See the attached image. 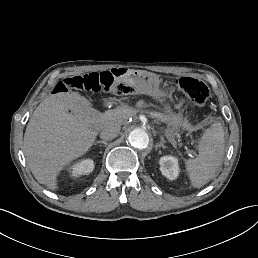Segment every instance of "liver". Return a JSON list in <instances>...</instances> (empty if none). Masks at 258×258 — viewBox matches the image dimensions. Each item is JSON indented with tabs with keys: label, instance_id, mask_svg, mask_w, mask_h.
<instances>
[{
	"label": "liver",
	"instance_id": "1",
	"mask_svg": "<svg viewBox=\"0 0 258 258\" xmlns=\"http://www.w3.org/2000/svg\"><path fill=\"white\" fill-rule=\"evenodd\" d=\"M93 116L101 114L78 92L51 95L34 110L24 134V154L40 184L55 190L59 172L93 145Z\"/></svg>",
	"mask_w": 258,
	"mask_h": 258
}]
</instances>
